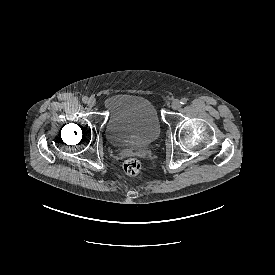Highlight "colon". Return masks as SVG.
Segmentation results:
<instances>
[{"mask_svg":"<svg viewBox=\"0 0 275 275\" xmlns=\"http://www.w3.org/2000/svg\"><path fill=\"white\" fill-rule=\"evenodd\" d=\"M141 169V163L138 158H127L123 163V171L128 176H136Z\"/></svg>","mask_w":275,"mask_h":275,"instance_id":"5ec220e1","label":"colon"}]
</instances>
